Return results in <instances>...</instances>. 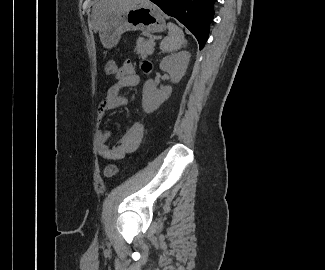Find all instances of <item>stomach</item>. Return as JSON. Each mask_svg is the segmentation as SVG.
Segmentation results:
<instances>
[{
	"label": "stomach",
	"instance_id": "stomach-1",
	"mask_svg": "<svg viewBox=\"0 0 325 270\" xmlns=\"http://www.w3.org/2000/svg\"><path fill=\"white\" fill-rule=\"evenodd\" d=\"M165 29V19L158 7L151 3H141L110 15L99 30V36L105 48H113L126 31L156 33Z\"/></svg>",
	"mask_w": 325,
	"mask_h": 270
}]
</instances>
